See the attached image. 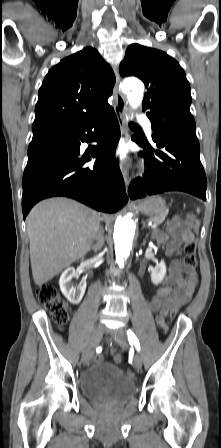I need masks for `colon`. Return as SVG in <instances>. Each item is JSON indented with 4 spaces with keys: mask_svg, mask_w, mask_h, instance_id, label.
I'll list each match as a JSON object with an SVG mask.
<instances>
[{
    "mask_svg": "<svg viewBox=\"0 0 221 448\" xmlns=\"http://www.w3.org/2000/svg\"><path fill=\"white\" fill-rule=\"evenodd\" d=\"M188 233L194 235L198 230V220L194 216H189L185 220ZM183 264L186 269L192 270L197 266L196 245L193 240L187 241L183 246ZM38 301L51 313L53 320L63 326L69 318V311L66 303L60 298L57 289L51 284H42L36 292ZM175 310L171 312L174 314ZM166 329L167 326L165 325ZM120 355L114 356V362L121 361ZM98 363H102L101 357L97 358Z\"/></svg>",
    "mask_w": 221,
    "mask_h": 448,
    "instance_id": "1",
    "label": "colon"
}]
</instances>
